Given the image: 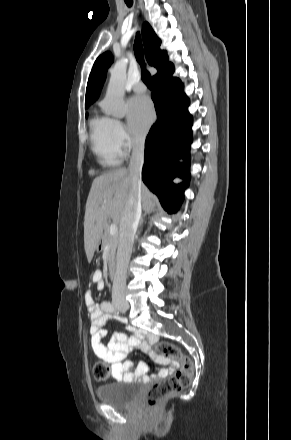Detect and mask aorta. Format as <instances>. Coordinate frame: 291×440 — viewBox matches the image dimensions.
<instances>
[{
	"label": "aorta",
	"instance_id": "aorta-1",
	"mask_svg": "<svg viewBox=\"0 0 291 440\" xmlns=\"http://www.w3.org/2000/svg\"><path fill=\"white\" fill-rule=\"evenodd\" d=\"M128 60L124 57L119 59L113 69L104 99L103 110L106 114L116 118H122L126 114L124 103V85L127 77Z\"/></svg>",
	"mask_w": 291,
	"mask_h": 440
}]
</instances>
